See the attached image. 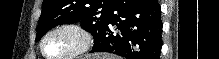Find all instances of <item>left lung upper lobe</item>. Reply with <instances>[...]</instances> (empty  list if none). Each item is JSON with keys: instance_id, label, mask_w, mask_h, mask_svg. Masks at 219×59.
Instances as JSON below:
<instances>
[{"instance_id": "5c2ea615", "label": "left lung upper lobe", "mask_w": 219, "mask_h": 59, "mask_svg": "<svg viewBox=\"0 0 219 59\" xmlns=\"http://www.w3.org/2000/svg\"><path fill=\"white\" fill-rule=\"evenodd\" d=\"M114 0H44L42 14L37 26V38L52 27L64 23L81 22V27L89 31L94 42L100 37Z\"/></svg>"}]
</instances>
